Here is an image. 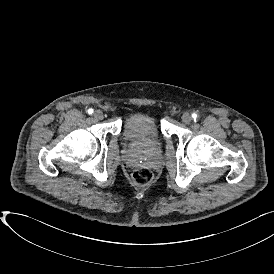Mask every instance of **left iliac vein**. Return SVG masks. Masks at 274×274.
<instances>
[{
    "label": "left iliac vein",
    "instance_id": "obj_1",
    "mask_svg": "<svg viewBox=\"0 0 274 274\" xmlns=\"http://www.w3.org/2000/svg\"><path fill=\"white\" fill-rule=\"evenodd\" d=\"M181 119H182V122H183V123L189 124V123L192 121V116H191L189 113L185 112V113L182 115Z\"/></svg>",
    "mask_w": 274,
    "mask_h": 274
}]
</instances>
